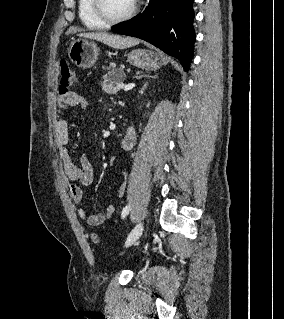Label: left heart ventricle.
<instances>
[{"label": "left heart ventricle", "mask_w": 284, "mask_h": 319, "mask_svg": "<svg viewBox=\"0 0 284 319\" xmlns=\"http://www.w3.org/2000/svg\"><path fill=\"white\" fill-rule=\"evenodd\" d=\"M133 0H105V7L112 17H119L129 11Z\"/></svg>", "instance_id": "obj_1"}]
</instances>
